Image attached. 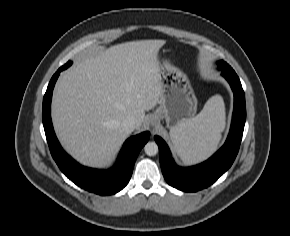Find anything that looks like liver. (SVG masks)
Masks as SVG:
<instances>
[{
	"label": "liver",
	"instance_id": "1",
	"mask_svg": "<svg viewBox=\"0 0 290 236\" xmlns=\"http://www.w3.org/2000/svg\"><path fill=\"white\" fill-rule=\"evenodd\" d=\"M165 40L121 43L84 58L58 80L51 116L64 149L89 167L108 165L127 133V117L140 129L145 111L160 100L158 53Z\"/></svg>",
	"mask_w": 290,
	"mask_h": 236
}]
</instances>
